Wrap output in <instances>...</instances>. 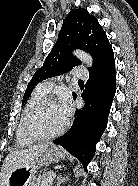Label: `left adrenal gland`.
<instances>
[{"mask_svg": "<svg viewBox=\"0 0 138 186\" xmlns=\"http://www.w3.org/2000/svg\"><path fill=\"white\" fill-rule=\"evenodd\" d=\"M68 179V176L63 177L62 175H59L56 180L55 186H60V184Z\"/></svg>", "mask_w": 138, "mask_h": 186, "instance_id": "left-adrenal-gland-1", "label": "left adrenal gland"}]
</instances>
